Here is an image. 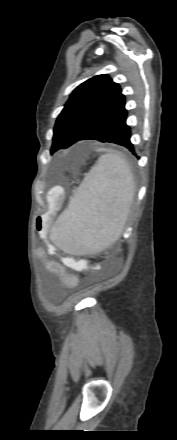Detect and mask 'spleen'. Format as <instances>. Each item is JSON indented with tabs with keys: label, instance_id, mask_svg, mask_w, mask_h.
<instances>
[{
	"label": "spleen",
	"instance_id": "3e777b00",
	"mask_svg": "<svg viewBox=\"0 0 177 440\" xmlns=\"http://www.w3.org/2000/svg\"><path fill=\"white\" fill-rule=\"evenodd\" d=\"M134 194L129 164L102 155L51 229V240L70 254L101 251L118 240Z\"/></svg>",
	"mask_w": 177,
	"mask_h": 440
}]
</instances>
